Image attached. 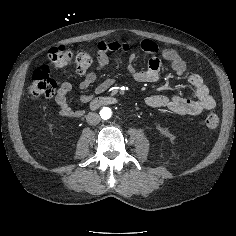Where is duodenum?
Masks as SVG:
<instances>
[{"mask_svg": "<svg viewBox=\"0 0 236 236\" xmlns=\"http://www.w3.org/2000/svg\"><path fill=\"white\" fill-rule=\"evenodd\" d=\"M117 100L114 97L109 96H99L91 100L90 106L92 108H98L102 106L112 105L116 103Z\"/></svg>", "mask_w": 236, "mask_h": 236, "instance_id": "duodenum-1", "label": "duodenum"}]
</instances>
